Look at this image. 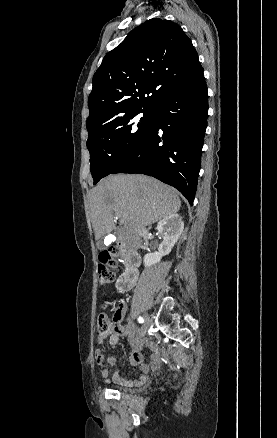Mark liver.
Here are the masks:
<instances>
[{"label": "liver", "mask_w": 277, "mask_h": 438, "mask_svg": "<svg viewBox=\"0 0 277 438\" xmlns=\"http://www.w3.org/2000/svg\"><path fill=\"white\" fill-rule=\"evenodd\" d=\"M91 222L95 240L115 230L113 220L120 218L123 230L141 232L146 226L179 212L180 198L155 178L143 174L108 176L90 192Z\"/></svg>", "instance_id": "1"}]
</instances>
